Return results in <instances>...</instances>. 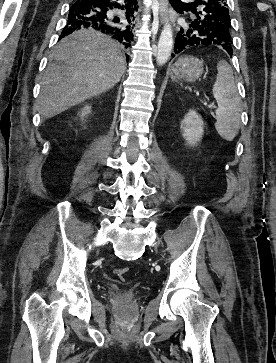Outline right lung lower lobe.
Returning <instances> with one entry per match:
<instances>
[{"label": "right lung lower lobe", "instance_id": "right-lung-lower-lobe-1", "mask_svg": "<svg viewBox=\"0 0 276 363\" xmlns=\"http://www.w3.org/2000/svg\"><path fill=\"white\" fill-rule=\"evenodd\" d=\"M135 0H126L121 5L114 0H76L69 9L68 21L63 28L59 39L79 29H95L111 36L117 40L125 49H129L133 41V27L126 25L130 23V17L134 19L133 13ZM119 8L126 10L124 17H113L110 12ZM126 17V18H125Z\"/></svg>", "mask_w": 276, "mask_h": 363}]
</instances>
